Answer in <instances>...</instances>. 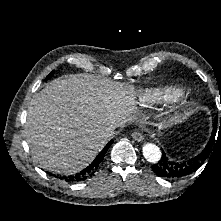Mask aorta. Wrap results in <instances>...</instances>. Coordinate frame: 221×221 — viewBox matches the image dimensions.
<instances>
[{"mask_svg":"<svg viewBox=\"0 0 221 221\" xmlns=\"http://www.w3.org/2000/svg\"><path fill=\"white\" fill-rule=\"evenodd\" d=\"M144 158L151 163H156L161 158V150L160 148L152 143L144 144L142 148Z\"/></svg>","mask_w":221,"mask_h":221,"instance_id":"aorta-1","label":"aorta"}]
</instances>
